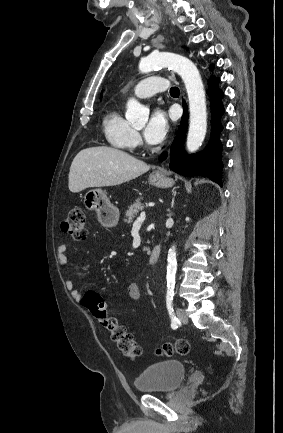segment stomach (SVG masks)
Listing matches in <instances>:
<instances>
[{
  "label": "stomach",
  "instance_id": "1",
  "mask_svg": "<svg viewBox=\"0 0 283 433\" xmlns=\"http://www.w3.org/2000/svg\"><path fill=\"white\" fill-rule=\"evenodd\" d=\"M149 182L150 184H154V186H160V188H167V186H173L174 184V180L166 176L164 172H160V170H155V172L149 174ZM83 202L88 210H96L100 221H103V223L115 221L117 225L120 214L119 208L111 204L102 188H91V190H88L84 194Z\"/></svg>",
  "mask_w": 283,
  "mask_h": 433
}]
</instances>
